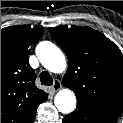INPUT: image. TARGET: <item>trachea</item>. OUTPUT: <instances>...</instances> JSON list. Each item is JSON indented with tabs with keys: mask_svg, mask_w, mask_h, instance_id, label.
<instances>
[{
	"mask_svg": "<svg viewBox=\"0 0 123 123\" xmlns=\"http://www.w3.org/2000/svg\"><path fill=\"white\" fill-rule=\"evenodd\" d=\"M40 81L42 85H52L53 84V79L47 71L41 72Z\"/></svg>",
	"mask_w": 123,
	"mask_h": 123,
	"instance_id": "3493384b",
	"label": "trachea"
}]
</instances>
